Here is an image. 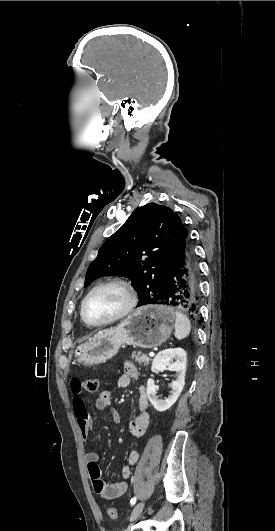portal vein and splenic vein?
<instances>
[{"mask_svg": "<svg viewBox=\"0 0 275 531\" xmlns=\"http://www.w3.org/2000/svg\"><path fill=\"white\" fill-rule=\"evenodd\" d=\"M149 357H154V353H149Z\"/></svg>", "mask_w": 275, "mask_h": 531, "instance_id": "obj_1", "label": "portal vein and splenic vein"}]
</instances>
